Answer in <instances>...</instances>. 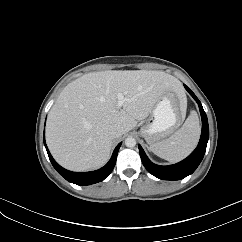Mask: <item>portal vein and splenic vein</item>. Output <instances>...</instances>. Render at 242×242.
Masks as SVG:
<instances>
[{
    "label": "portal vein and splenic vein",
    "mask_w": 242,
    "mask_h": 242,
    "mask_svg": "<svg viewBox=\"0 0 242 242\" xmlns=\"http://www.w3.org/2000/svg\"><path fill=\"white\" fill-rule=\"evenodd\" d=\"M117 99H118V101H117L118 108H120L123 105V103L128 100L124 97V95L122 93L117 94Z\"/></svg>",
    "instance_id": "18ae733b"
}]
</instances>
